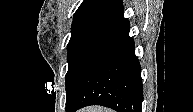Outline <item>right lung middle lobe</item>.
<instances>
[{"label": "right lung middle lobe", "instance_id": "1", "mask_svg": "<svg viewBox=\"0 0 193 112\" xmlns=\"http://www.w3.org/2000/svg\"><path fill=\"white\" fill-rule=\"evenodd\" d=\"M115 34L112 31L96 28L72 30L71 39L68 44L67 97L84 66Z\"/></svg>", "mask_w": 193, "mask_h": 112}]
</instances>
